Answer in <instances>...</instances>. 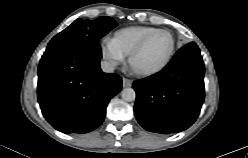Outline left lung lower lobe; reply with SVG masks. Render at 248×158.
<instances>
[{
	"instance_id": "obj_1",
	"label": "left lung lower lobe",
	"mask_w": 248,
	"mask_h": 158,
	"mask_svg": "<svg viewBox=\"0 0 248 158\" xmlns=\"http://www.w3.org/2000/svg\"><path fill=\"white\" fill-rule=\"evenodd\" d=\"M204 63L192 42L177 51L159 73L135 81V116L151 132L170 134L190 127L204 101Z\"/></svg>"
}]
</instances>
